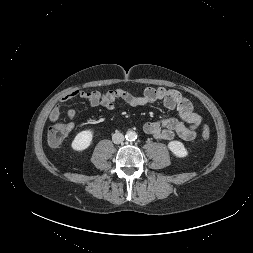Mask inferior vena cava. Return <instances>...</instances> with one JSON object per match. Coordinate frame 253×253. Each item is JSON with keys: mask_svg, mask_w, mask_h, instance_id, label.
<instances>
[{"mask_svg": "<svg viewBox=\"0 0 253 253\" xmlns=\"http://www.w3.org/2000/svg\"><path fill=\"white\" fill-rule=\"evenodd\" d=\"M112 141L115 144H120L124 141V135L122 133L116 132L112 135Z\"/></svg>", "mask_w": 253, "mask_h": 253, "instance_id": "602c4592", "label": "inferior vena cava"}]
</instances>
